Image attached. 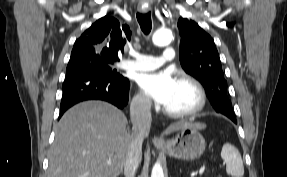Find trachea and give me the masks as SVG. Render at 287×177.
<instances>
[{
    "mask_svg": "<svg viewBox=\"0 0 287 177\" xmlns=\"http://www.w3.org/2000/svg\"><path fill=\"white\" fill-rule=\"evenodd\" d=\"M137 20L138 23L141 27V30L143 31V33L145 35H148L152 29V22H151V14L146 13V14H142V13H137Z\"/></svg>",
    "mask_w": 287,
    "mask_h": 177,
    "instance_id": "trachea-1",
    "label": "trachea"
}]
</instances>
